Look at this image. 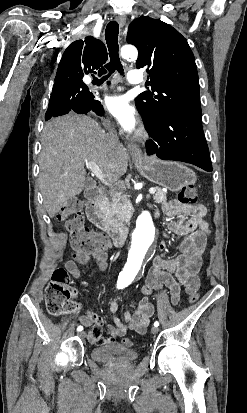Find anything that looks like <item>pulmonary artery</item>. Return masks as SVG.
<instances>
[{"instance_id":"1","label":"pulmonary artery","mask_w":247,"mask_h":413,"mask_svg":"<svg viewBox=\"0 0 247 413\" xmlns=\"http://www.w3.org/2000/svg\"><path fill=\"white\" fill-rule=\"evenodd\" d=\"M141 75V76H140ZM128 79L133 82V84L136 87H139L142 82H144L146 80V75L145 74H141V70L140 69H136V68H132L129 71V76ZM84 83L86 86H88L90 89H93L92 86V78L90 75H86L84 77Z\"/></svg>"}]
</instances>
